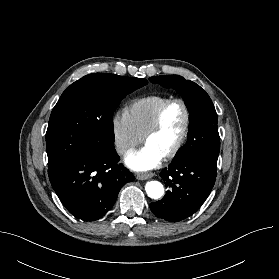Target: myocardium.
<instances>
[{"label": "myocardium", "mask_w": 279, "mask_h": 279, "mask_svg": "<svg viewBox=\"0 0 279 279\" xmlns=\"http://www.w3.org/2000/svg\"><path fill=\"white\" fill-rule=\"evenodd\" d=\"M174 103L181 104V106L184 110V114H185V121H184L182 133H181L178 141L176 142L174 147L166 155L163 156V158H165V159H171V158L175 157L186 142V139H187V136L189 133V129H190V123H191V113H190V109H189V106L186 103V101L182 98H171V99H168L167 101H165L158 108L152 123L150 124V126L147 128V130L143 134V140L145 143H147L148 138L151 135H153L160 128L163 115H164L165 111L167 110V108Z\"/></svg>", "instance_id": "f54148a6"}]
</instances>
